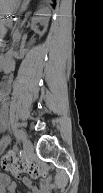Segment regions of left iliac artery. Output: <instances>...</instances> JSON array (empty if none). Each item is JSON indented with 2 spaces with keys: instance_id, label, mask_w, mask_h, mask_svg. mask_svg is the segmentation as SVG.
<instances>
[{
  "instance_id": "obj_1",
  "label": "left iliac artery",
  "mask_w": 103,
  "mask_h": 193,
  "mask_svg": "<svg viewBox=\"0 0 103 193\" xmlns=\"http://www.w3.org/2000/svg\"><path fill=\"white\" fill-rule=\"evenodd\" d=\"M14 134L18 139H23L24 138V133L20 130H14Z\"/></svg>"
}]
</instances>
